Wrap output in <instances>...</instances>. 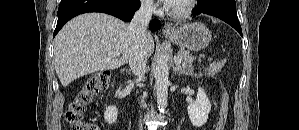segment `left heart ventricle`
I'll return each instance as SVG.
<instances>
[{"instance_id":"b2bd125f","label":"left heart ventricle","mask_w":299,"mask_h":130,"mask_svg":"<svg viewBox=\"0 0 299 130\" xmlns=\"http://www.w3.org/2000/svg\"><path fill=\"white\" fill-rule=\"evenodd\" d=\"M181 3H183V1H179L177 4L180 5Z\"/></svg>"}]
</instances>
